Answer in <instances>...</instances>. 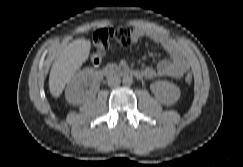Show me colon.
<instances>
[{
    "label": "colon",
    "mask_w": 243,
    "mask_h": 167,
    "mask_svg": "<svg viewBox=\"0 0 243 167\" xmlns=\"http://www.w3.org/2000/svg\"><path fill=\"white\" fill-rule=\"evenodd\" d=\"M111 40L121 47H127L132 41V31L125 26L97 29L93 36L94 52L90 56V63L92 66L100 65L109 48ZM184 80L186 83H191L193 80L192 74L187 73Z\"/></svg>",
    "instance_id": "1"
}]
</instances>
